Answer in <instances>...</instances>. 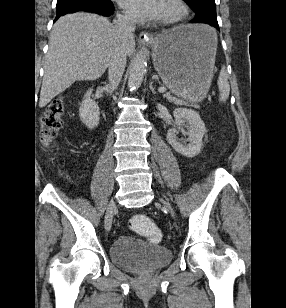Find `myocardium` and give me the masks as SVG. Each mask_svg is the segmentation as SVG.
I'll return each instance as SVG.
<instances>
[{"instance_id":"myocardium-1","label":"myocardium","mask_w":286,"mask_h":308,"mask_svg":"<svg viewBox=\"0 0 286 308\" xmlns=\"http://www.w3.org/2000/svg\"><path fill=\"white\" fill-rule=\"evenodd\" d=\"M167 2H169L177 12L173 16L160 19L159 23L170 26L183 21L188 15V7L184 0H167Z\"/></svg>"}]
</instances>
